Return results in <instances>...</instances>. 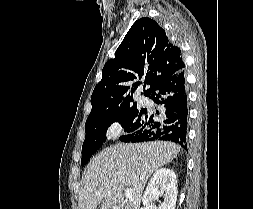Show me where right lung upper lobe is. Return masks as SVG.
Masks as SVG:
<instances>
[{
	"label": "right lung upper lobe",
	"mask_w": 253,
	"mask_h": 209,
	"mask_svg": "<svg viewBox=\"0 0 253 209\" xmlns=\"http://www.w3.org/2000/svg\"><path fill=\"white\" fill-rule=\"evenodd\" d=\"M181 50L173 45L162 27L150 18L137 20L102 70V79L91 96L92 110L88 117L130 108L138 87L134 80L144 78L151 97L171 76L183 71Z\"/></svg>",
	"instance_id": "right-lung-upper-lobe-1"
}]
</instances>
